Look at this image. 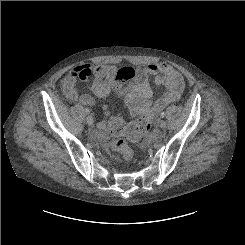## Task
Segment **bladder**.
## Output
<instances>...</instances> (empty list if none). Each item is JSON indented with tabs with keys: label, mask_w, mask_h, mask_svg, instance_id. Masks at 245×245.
I'll return each instance as SVG.
<instances>
[{
	"label": "bladder",
	"mask_w": 245,
	"mask_h": 245,
	"mask_svg": "<svg viewBox=\"0 0 245 245\" xmlns=\"http://www.w3.org/2000/svg\"><path fill=\"white\" fill-rule=\"evenodd\" d=\"M122 94H119L118 96L121 97Z\"/></svg>",
	"instance_id": "1"
}]
</instances>
